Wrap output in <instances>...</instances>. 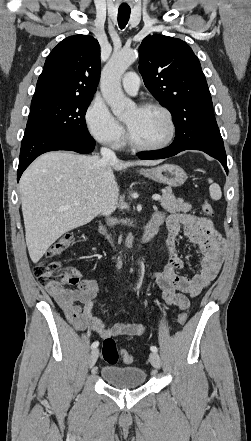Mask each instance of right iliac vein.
Returning <instances> with one entry per match:
<instances>
[{
  "mask_svg": "<svg viewBox=\"0 0 251 441\" xmlns=\"http://www.w3.org/2000/svg\"><path fill=\"white\" fill-rule=\"evenodd\" d=\"M98 356H99V350L98 349H94L91 352V354L89 356V360H88V365H89L90 368H92L95 365V363H96V361L98 359Z\"/></svg>",
  "mask_w": 251,
  "mask_h": 441,
  "instance_id": "right-iliac-vein-1",
  "label": "right iliac vein"
}]
</instances>
